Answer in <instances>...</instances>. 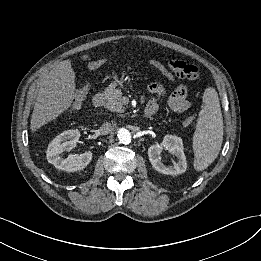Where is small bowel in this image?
<instances>
[{"instance_id":"obj_1","label":"small bowel","mask_w":261,"mask_h":261,"mask_svg":"<svg viewBox=\"0 0 261 261\" xmlns=\"http://www.w3.org/2000/svg\"><path fill=\"white\" fill-rule=\"evenodd\" d=\"M101 65L100 60L91 59L86 64V70L88 72H95L99 69ZM149 92L152 94V97L149 99L146 109L151 110L152 115L155 114L159 109V103L164 96V86L160 82H152L148 86ZM168 105L170 109L175 112L186 111L191 103L188 99V90L187 87L183 84H179L174 92L170 95L168 99ZM189 122L186 121V124Z\"/></svg>"}]
</instances>
